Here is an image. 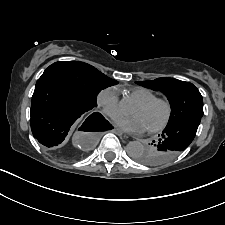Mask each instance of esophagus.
Wrapping results in <instances>:
<instances>
[{"instance_id":"1","label":"esophagus","mask_w":225,"mask_h":225,"mask_svg":"<svg viewBox=\"0 0 225 225\" xmlns=\"http://www.w3.org/2000/svg\"><path fill=\"white\" fill-rule=\"evenodd\" d=\"M113 132L120 135V136L124 135V133L119 128H114Z\"/></svg>"}]
</instances>
